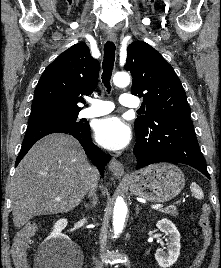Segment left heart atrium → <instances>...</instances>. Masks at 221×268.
I'll list each match as a JSON object with an SVG mask.
<instances>
[{
	"instance_id": "obj_1",
	"label": "left heart atrium",
	"mask_w": 221,
	"mask_h": 268,
	"mask_svg": "<svg viewBox=\"0 0 221 268\" xmlns=\"http://www.w3.org/2000/svg\"><path fill=\"white\" fill-rule=\"evenodd\" d=\"M96 141L103 147L110 150H121L131 140L129 126L118 117H107L96 124Z\"/></svg>"
}]
</instances>
